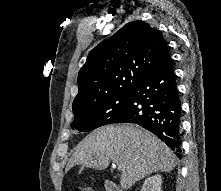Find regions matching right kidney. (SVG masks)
Here are the masks:
<instances>
[{"label":"right kidney","mask_w":221,"mask_h":191,"mask_svg":"<svg viewBox=\"0 0 221 191\" xmlns=\"http://www.w3.org/2000/svg\"><path fill=\"white\" fill-rule=\"evenodd\" d=\"M162 176L154 175L145 179L141 191H162Z\"/></svg>","instance_id":"ca27d5eb"}]
</instances>
